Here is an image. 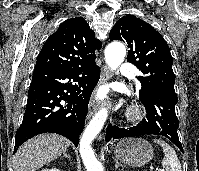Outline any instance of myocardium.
Wrapping results in <instances>:
<instances>
[{"label":"myocardium","mask_w":199,"mask_h":171,"mask_svg":"<svg viewBox=\"0 0 199 171\" xmlns=\"http://www.w3.org/2000/svg\"><path fill=\"white\" fill-rule=\"evenodd\" d=\"M143 112L139 108H131L128 111V118L132 121H138L142 118Z\"/></svg>","instance_id":"1"}]
</instances>
